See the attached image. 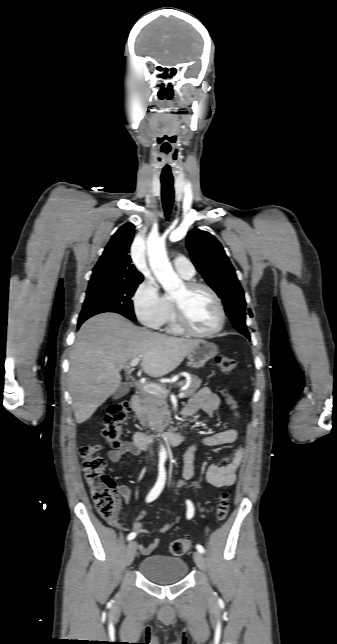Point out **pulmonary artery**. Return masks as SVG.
Wrapping results in <instances>:
<instances>
[{
  "instance_id": "1",
  "label": "pulmonary artery",
  "mask_w": 337,
  "mask_h": 644,
  "mask_svg": "<svg viewBox=\"0 0 337 644\" xmlns=\"http://www.w3.org/2000/svg\"><path fill=\"white\" fill-rule=\"evenodd\" d=\"M175 270L184 278H192L195 275L193 264L185 257H177L174 260Z\"/></svg>"
}]
</instances>
